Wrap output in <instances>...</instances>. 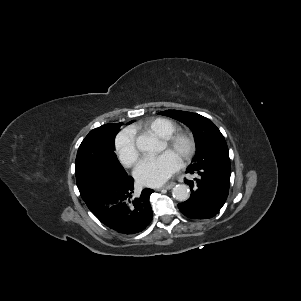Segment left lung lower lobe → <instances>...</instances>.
I'll list each match as a JSON object with an SVG mask.
<instances>
[{"label":"left lung lower lobe","instance_id":"1","mask_svg":"<svg viewBox=\"0 0 301 301\" xmlns=\"http://www.w3.org/2000/svg\"><path fill=\"white\" fill-rule=\"evenodd\" d=\"M187 172L197 177L185 181L191 195L187 201L178 204L179 210L192 219L212 218L227 199L231 171L205 167L187 169Z\"/></svg>","mask_w":301,"mask_h":301}]
</instances>
